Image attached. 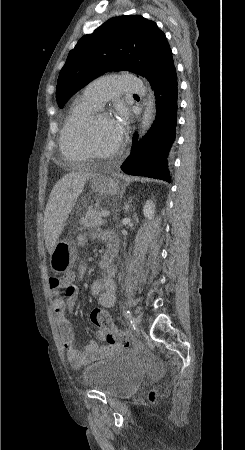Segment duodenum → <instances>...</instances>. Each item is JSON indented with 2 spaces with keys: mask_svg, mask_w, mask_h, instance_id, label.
<instances>
[{
  "mask_svg": "<svg viewBox=\"0 0 245 450\" xmlns=\"http://www.w3.org/2000/svg\"><path fill=\"white\" fill-rule=\"evenodd\" d=\"M110 266L111 260L108 256L100 261V267L103 271H107L110 268Z\"/></svg>",
  "mask_w": 245,
  "mask_h": 450,
  "instance_id": "410a0bca",
  "label": "duodenum"
}]
</instances>
